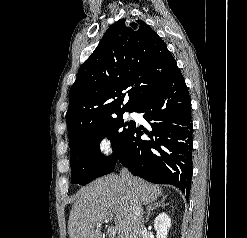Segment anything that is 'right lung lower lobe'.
Segmentation results:
<instances>
[{
    "label": "right lung lower lobe",
    "mask_w": 247,
    "mask_h": 238,
    "mask_svg": "<svg viewBox=\"0 0 247 238\" xmlns=\"http://www.w3.org/2000/svg\"><path fill=\"white\" fill-rule=\"evenodd\" d=\"M150 124L134 126L118 160L133 175L155 184H171L189 195L192 177L191 99L177 69L135 110ZM143 134L150 139L142 140Z\"/></svg>",
    "instance_id": "right-lung-lower-lobe-1"
}]
</instances>
